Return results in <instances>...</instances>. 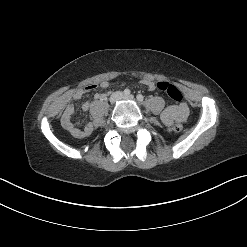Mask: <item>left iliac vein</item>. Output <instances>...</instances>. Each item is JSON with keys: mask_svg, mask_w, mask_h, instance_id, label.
Instances as JSON below:
<instances>
[{"mask_svg": "<svg viewBox=\"0 0 247 247\" xmlns=\"http://www.w3.org/2000/svg\"><path fill=\"white\" fill-rule=\"evenodd\" d=\"M124 98L128 99V100H134V96L133 95L124 96Z\"/></svg>", "mask_w": 247, "mask_h": 247, "instance_id": "1", "label": "left iliac vein"}]
</instances>
